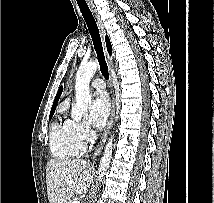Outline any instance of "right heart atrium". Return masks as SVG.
Returning a JSON list of instances; mask_svg holds the SVG:
<instances>
[{
  "label": "right heart atrium",
  "instance_id": "1",
  "mask_svg": "<svg viewBox=\"0 0 214 203\" xmlns=\"http://www.w3.org/2000/svg\"><path fill=\"white\" fill-rule=\"evenodd\" d=\"M74 128L78 138L84 143L91 138V129L85 121H74Z\"/></svg>",
  "mask_w": 214,
  "mask_h": 203
}]
</instances>
